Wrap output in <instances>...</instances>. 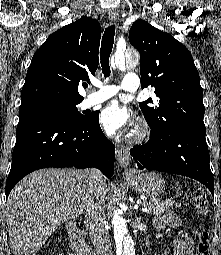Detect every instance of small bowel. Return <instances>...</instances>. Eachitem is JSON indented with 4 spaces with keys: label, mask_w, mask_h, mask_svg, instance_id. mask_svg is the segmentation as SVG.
Returning <instances> with one entry per match:
<instances>
[{
    "label": "small bowel",
    "mask_w": 221,
    "mask_h": 255,
    "mask_svg": "<svg viewBox=\"0 0 221 255\" xmlns=\"http://www.w3.org/2000/svg\"><path fill=\"white\" fill-rule=\"evenodd\" d=\"M154 226L161 230L166 224L178 227L180 221L173 212H167L163 218H155ZM174 255H193V240L186 233L180 232L179 237L173 242Z\"/></svg>",
    "instance_id": "obj_1"
}]
</instances>
